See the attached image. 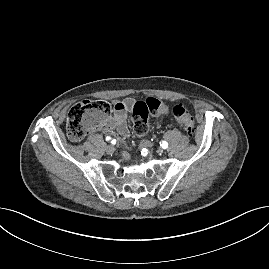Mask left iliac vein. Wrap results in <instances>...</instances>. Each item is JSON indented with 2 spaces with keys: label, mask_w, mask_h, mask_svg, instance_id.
I'll return each mask as SVG.
<instances>
[{
  "label": "left iliac vein",
  "mask_w": 269,
  "mask_h": 269,
  "mask_svg": "<svg viewBox=\"0 0 269 269\" xmlns=\"http://www.w3.org/2000/svg\"><path fill=\"white\" fill-rule=\"evenodd\" d=\"M141 146L147 147V148H151L150 143L148 141H146V140H144V141L141 142Z\"/></svg>",
  "instance_id": "1"
}]
</instances>
